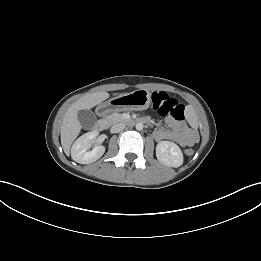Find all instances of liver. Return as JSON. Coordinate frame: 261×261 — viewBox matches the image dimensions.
Returning <instances> with one entry per match:
<instances>
[{
    "mask_svg": "<svg viewBox=\"0 0 261 261\" xmlns=\"http://www.w3.org/2000/svg\"><path fill=\"white\" fill-rule=\"evenodd\" d=\"M123 95V94H120ZM109 98L105 91L89 93L75 103L66 111L61 125V145L65 154L69 155L70 147L81 131V124L78 120V111L89 110Z\"/></svg>",
    "mask_w": 261,
    "mask_h": 261,
    "instance_id": "6515ba94",
    "label": "liver"
}]
</instances>
